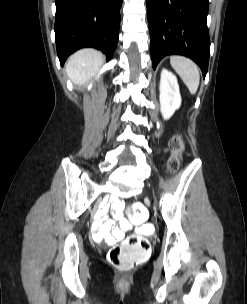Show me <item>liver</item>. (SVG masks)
I'll return each mask as SVG.
<instances>
[{
    "label": "liver",
    "instance_id": "obj_1",
    "mask_svg": "<svg viewBox=\"0 0 247 304\" xmlns=\"http://www.w3.org/2000/svg\"><path fill=\"white\" fill-rule=\"evenodd\" d=\"M104 63V56L94 49H81L69 57L66 64L68 76L75 84L88 82Z\"/></svg>",
    "mask_w": 247,
    "mask_h": 304
}]
</instances>
